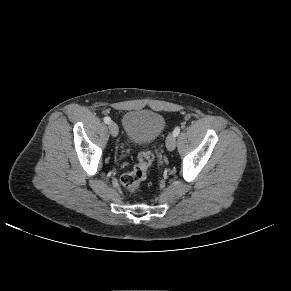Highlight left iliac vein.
Masks as SVG:
<instances>
[{
	"mask_svg": "<svg viewBox=\"0 0 291 291\" xmlns=\"http://www.w3.org/2000/svg\"><path fill=\"white\" fill-rule=\"evenodd\" d=\"M166 147L169 151H173L176 147V137L173 134H169L166 138Z\"/></svg>",
	"mask_w": 291,
	"mask_h": 291,
	"instance_id": "1",
	"label": "left iliac vein"
}]
</instances>
